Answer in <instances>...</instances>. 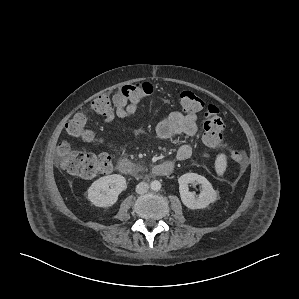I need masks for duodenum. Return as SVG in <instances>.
Listing matches in <instances>:
<instances>
[{"mask_svg":"<svg viewBox=\"0 0 299 299\" xmlns=\"http://www.w3.org/2000/svg\"><path fill=\"white\" fill-rule=\"evenodd\" d=\"M118 170L124 175H138L144 172L143 168L137 167L132 162L122 159L118 162ZM173 171V164L171 162H163L151 168V173L156 176H167Z\"/></svg>","mask_w":299,"mask_h":299,"instance_id":"obj_1","label":"duodenum"}]
</instances>
